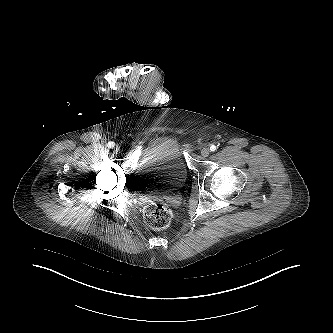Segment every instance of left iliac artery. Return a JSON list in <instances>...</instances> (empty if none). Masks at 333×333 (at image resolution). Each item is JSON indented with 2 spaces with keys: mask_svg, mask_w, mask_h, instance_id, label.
<instances>
[{
  "mask_svg": "<svg viewBox=\"0 0 333 333\" xmlns=\"http://www.w3.org/2000/svg\"><path fill=\"white\" fill-rule=\"evenodd\" d=\"M210 150H211L212 152H214V151L216 150V146H215V145H211V146H210Z\"/></svg>",
  "mask_w": 333,
  "mask_h": 333,
  "instance_id": "obj_1",
  "label": "left iliac artery"
}]
</instances>
